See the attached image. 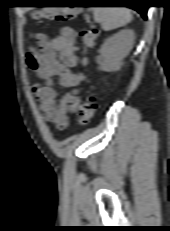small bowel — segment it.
I'll return each instance as SVG.
<instances>
[{"label":"small bowel","mask_w":170,"mask_h":231,"mask_svg":"<svg viewBox=\"0 0 170 231\" xmlns=\"http://www.w3.org/2000/svg\"><path fill=\"white\" fill-rule=\"evenodd\" d=\"M36 40L38 50L27 52L26 63L44 84L34 86L33 91L44 119L62 130L68 125L69 115L76 111L80 102V85L84 75L74 68L79 63L85 65L87 59H79L76 33L71 27H62L60 34L52 38L37 34ZM56 79L67 88L60 98L54 88Z\"/></svg>","instance_id":"obj_1"}]
</instances>
